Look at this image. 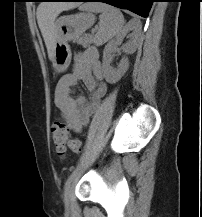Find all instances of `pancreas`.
<instances>
[{"label":"pancreas","mask_w":202,"mask_h":217,"mask_svg":"<svg viewBox=\"0 0 202 217\" xmlns=\"http://www.w3.org/2000/svg\"><path fill=\"white\" fill-rule=\"evenodd\" d=\"M93 37L88 36V37H82L79 39V43L83 45V47L89 46L93 42Z\"/></svg>","instance_id":"1"}]
</instances>
